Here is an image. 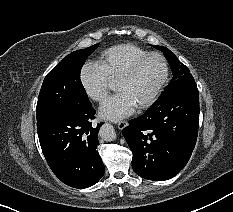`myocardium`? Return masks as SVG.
I'll list each match as a JSON object with an SVG mask.
<instances>
[{"mask_svg": "<svg viewBox=\"0 0 233 212\" xmlns=\"http://www.w3.org/2000/svg\"><path fill=\"white\" fill-rule=\"evenodd\" d=\"M152 57L159 58L162 61L164 73H163V77H162L161 81L157 85L154 92L150 95V97L147 100H145L143 103H141L140 105L137 106V108L139 110L146 109V108L150 107L157 100V98L160 96L162 90L164 89V87L169 79V75H170V66H169V62H168L167 58L159 52H149V53L137 58L136 60H134L128 66V68L117 79V82L129 80L136 73V71L138 70L140 65L144 61H146L147 59L152 58Z\"/></svg>", "mask_w": 233, "mask_h": 212, "instance_id": "f54148a6", "label": "myocardium"}]
</instances>
